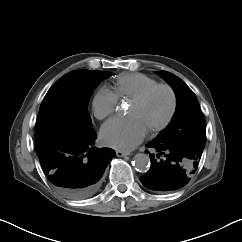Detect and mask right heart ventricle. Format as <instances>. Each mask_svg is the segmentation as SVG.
Segmentation results:
<instances>
[{
    "instance_id": "obj_1",
    "label": "right heart ventricle",
    "mask_w": 242,
    "mask_h": 242,
    "mask_svg": "<svg viewBox=\"0 0 242 242\" xmlns=\"http://www.w3.org/2000/svg\"><path fill=\"white\" fill-rule=\"evenodd\" d=\"M158 84V81L146 74L123 73L114 82L115 93L120 99L132 100L146 89Z\"/></svg>"
}]
</instances>
